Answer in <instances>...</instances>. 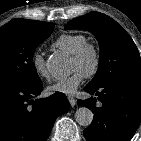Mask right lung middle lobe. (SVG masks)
Masks as SVG:
<instances>
[{
    "label": "right lung middle lobe",
    "mask_w": 141,
    "mask_h": 141,
    "mask_svg": "<svg viewBox=\"0 0 141 141\" xmlns=\"http://www.w3.org/2000/svg\"><path fill=\"white\" fill-rule=\"evenodd\" d=\"M53 28V23L28 19H15L0 28V84L40 82L32 57Z\"/></svg>",
    "instance_id": "obj_1"
}]
</instances>
